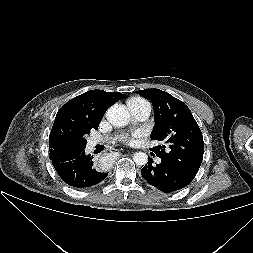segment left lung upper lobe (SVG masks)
<instances>
[{"mask_svg":"<svg viewBox=\"0 0 253 253\" xmlns=\"http://www.w3.org/2000/svg\"><path fill=\"white\" fill-rule=\"evenodd\" d=\"M138 93L151 101L154 108L155 126L150 137L163 143L150 150L193 179L203 159L204 142L190 109L159 89Z\"/></svg>","mask_w":253,"mask_h":253,"instance_id":"5c2ea615","label":"left lung upper lobe"}]
</instances>
